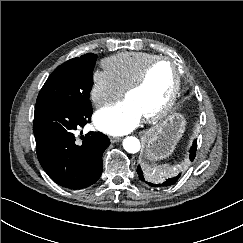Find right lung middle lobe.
Here are the masks:
<instances>
[{
    "label": "right lung middle lobe",
    "mask_w": 243,
    "mask_h": 243,
    "mask_svg": "<svg viewBox=\"0 0 243 243\" xmlns=\"http://www.w3.org/2000/svg\"><path fill=\"white\" fill-rule=\"evenodd\" d=\"M96 59L97 55L88 53L57 67L43 85L36 105H54L74 111L91 109L89 95Z\"/></svg>",
    "instance_id": "1"
}]
</instances>
